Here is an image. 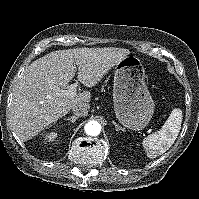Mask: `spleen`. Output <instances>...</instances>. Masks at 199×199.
Masks as SVG:
<instances>
[{
	"mask_svg": "<svg viewBox=\"0 0 199 199\" xmlns=\"http://www.w3.org/2000/svg\"><path fill=\"white\" fill-rule=\"evenodd\" d=\"M182 118L181 109L175 108L159 131L144 138L142 145L148 158L162 155L174 144L181 129Z\"/></svg>",
	"mask_w": 199,
	"mask_h": 199,
	"instance_id": "spleen-1",
	"label": "spleen"
}]
</instances>
